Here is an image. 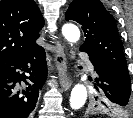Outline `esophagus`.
Instances as JSON below:
<instances>
[{"label": "esophagus", "instance_id": "esophagus-1", "mask_svg": "<svg viewBox=\"0 0 133 118\" xmlns=\"http://www.w3.org/2000/svg\"><path fill=\"white\" fill-rule=\"evenodd\" d=\"M53 53L60 84L64 90H68L72 85V81L68 73L67 62L63 47L58 41L55 42Z\"/></svg>", "mask_w": 133, "mask_h": 118}]
</instances>
